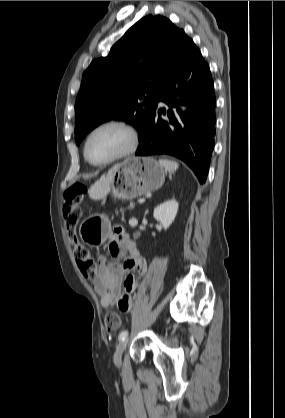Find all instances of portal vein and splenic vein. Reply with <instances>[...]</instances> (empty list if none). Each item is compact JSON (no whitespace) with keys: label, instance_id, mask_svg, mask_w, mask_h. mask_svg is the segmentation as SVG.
<instances>
[{"label":"portal vein and splenic vein","instance_id":"18ae733b","mask_svg":"<svg viewBox=\"0 0 285 418\" xmlns=\"http://www.w3.org/2000/svg\"><path fill=\"white\" fill-rule=\"evenodd\" d=\"M139 203H144L145 202V198H141L138 200Z\"/></svg>","mask_w":285,"mask_h":418}]
</instances>
